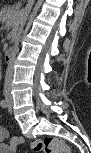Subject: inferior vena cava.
<instances>
[{
    "label": "inferior vena cava",
    "mask_w": 91,
    "mask_h": 153,
    "mask_svg": "<svg viewBox=\"0 0 91 153\" xmlns=\"http://www.w3.org/2000/svg\"><path fill=\"white\" fill-rule=\"evenodd\" d=\"M33 3H34V0H28V4L26 5L25 9L21 12V15H20L21 28H20V30L22 29V26L26 22V19L31 11L32 6H33ZM19 39H20V34H18V36H16L15 44H14V47L12 48L13 53L19 52L18 51L19 50V44H18ZM16 57H17V54H12V57L10 58L11 60H9V63L7 64L9 67H8V69L6 71V75H5L4 88L7 91V95L9 98H11L9 91H10V86L12 83L14 63H15V60L17 59Z\"/></svg>",
    "instance_id": "602c4592"
}]
</instances>
